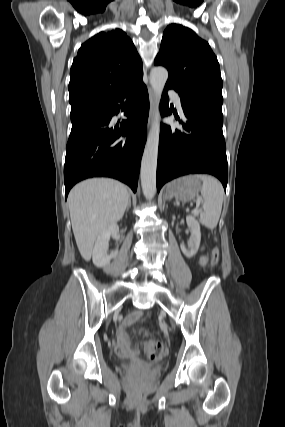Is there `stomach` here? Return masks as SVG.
Wrapping results in <instances>:
<instances>
[{
	"mask_svg": "<svg viewBox=\"0 0 285 427\" xmlns=\"http://www.w3.org/2000/svg\"><path fill=\"white\" fill-rule=\"evenodd\" d=\"M201 189V184L194 176H185L167 184L166 192L171 198L181 201L194 199Z\"/></svg>",
	"mask_w": 285,
	"mask_h": 427,
	"instance_id": "0dacf381",
	"label": "stomach"
}]
</instances>
